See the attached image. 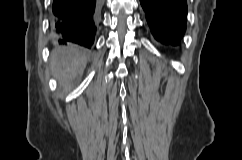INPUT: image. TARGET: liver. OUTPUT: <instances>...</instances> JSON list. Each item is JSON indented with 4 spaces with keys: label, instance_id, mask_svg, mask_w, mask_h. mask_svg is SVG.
Segmentation results:
<instances>
[{
    "label": "liver",
    "instance_id": "1",
    "mask_svg": "<svg viewBox=\"0 0 242 160\" xmlns=\"http://www.w3.org/2000/svg\"><path fill=\"white\" fill-rule=\"evenodd\" d=\"M86 65L84 51L77 46L56 48L51 55L52 73L60 82H70L80 74Z\"/></svg>",
    "mask_w": 242,
    "mask_h": 160
}]
</instances>
